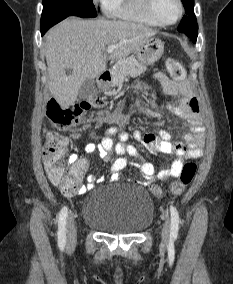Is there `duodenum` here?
Wrapping results in <instances>:
<instances>
[{"mask_svg":"<svg viewBox=\"0 0 233 284\" xmlns=\"http://www.w3.org/2000/svg\"><path fill=\"white\" fill-rule=\"evenodd\" d=\"M111 71L110 70H105L99 75V84L101 86H107L110 81H111Z\"/></svg>","mask_w":233,"mask_h":284,"instance_id":"duodenum-1","label":"duodenum"}]
</instances>
